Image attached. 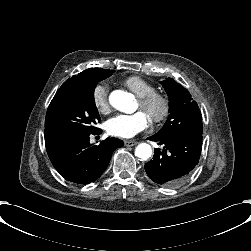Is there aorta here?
I'll use <instances>...</instances> for the list:
<instances>
[{
	"label": "aorta",
	"instance_id": "obj_1",
	"mask_svg": "<svg viewBox=\"0 0 251 251\" xmlns=\"http://www.w3.org/2000/svg\"><path fill=\"white\" fill-rule=\"evenodd\" d=\"M110 104L118 111L124 113L134 112V97L122 90H115L109 96ZM152 155V148L147 143H140L135 148V156L143 161L149 159Z\"/></svg>",
	"mask_w": 251,
	"mask_h": 251
}]
</instances>
